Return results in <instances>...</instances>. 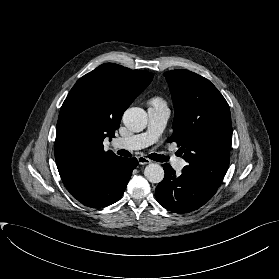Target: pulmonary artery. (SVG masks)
<instances>
[{
  "instance_id": "obj_1",
  "label": "pulmonary artery",
  "mask_w": 279,
  "mask_h": 279,
  "mask_svg": "<svg viewBox=\"0 0 279 279\" xmlns=\"http://www.w3.org/2000/svg\"><path fill=\"white\" fill-rule=\"evenodd\" d=\"M169 117V110L164 105H152L148 109V128L145 132L121 137L114 140V144L128 150H139L153 144L162 134ZM172 166L181 171L186 162L178 157L171 158Z\"/></svg>"
}]
</instances>
